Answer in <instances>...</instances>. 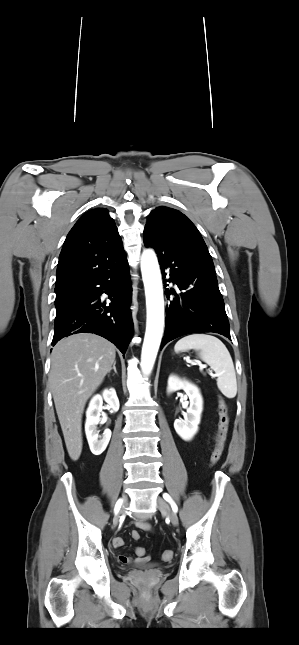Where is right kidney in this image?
Instances as JSON below:
<instances>
[{
	"label": "right kidney",
	"mask_w": 299,
	"mask_h": 645,
	"mask_svg": "<svg viewBox=\"0 0 299 645\" xmlns=\"http://www.w3.org/2000/svg\"><path fill=\"white\" fill-rule=\"evenodd\" d=\"M103 400L114 412L119 410V400L114 389H106L102 395H95L86 411L85 433L91 452L100 455L107 447L111 438V431L106 429L102 437L99 436L97 425L100 423V412L102 411Z\"/></svg>",
	"instance_id": "right-kidney-1"
}]
</instances>
